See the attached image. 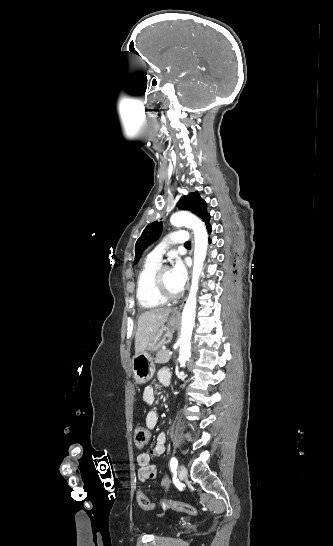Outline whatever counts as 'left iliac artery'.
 Listing matches in <instances>:
<instances>
[{
  "mask_svg": "<svg viewBox=\"0 0 333 546\" xmlns=\"http://www.w3.org/2000/svg\"><path fill=\"white\" fill-rule=\"evenodd\" d=\"M177 466H178L177 459L175 457H172L171 461H170V467H171L172 472L176 471Z\"/></svg>",
  "mask_w": 333,
  "mask_h": 546,
  "instance_id": "obj_1",
  "label": "left iliac artery"
}]
</instances>
